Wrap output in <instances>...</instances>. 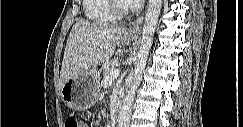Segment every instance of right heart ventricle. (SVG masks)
<instances>
[{
    "instance_id": "obj_1",
    "label": "right heart ventricle",
    "mask_w": 243,
    "mask_h": 127,
    "mask_svg": "<svg viewBox=\"0 0 243 127\" xmlns=\"http://www.w3.org/2000/svg\"><path fill=\"white\" fill-rule=\"evenodd\" d=\"M112 0H84L83 11L86 19L93 24H107L116 20L111 7Z\"/></svg>"
}]
</instances>
